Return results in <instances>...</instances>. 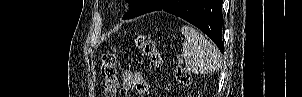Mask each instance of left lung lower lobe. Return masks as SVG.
Listing matches in <instances>:
<instances>
[{"mask_svg": "<svg viewBox=\"0 0 302 97\" xmlns=\"http://www.w3.org/2000/svg\"><path fill=\"white\" fill-rule=\"evenodd\" d=\"M147 3L149 4L145 9L126 19L152 11L164 10L198 27L224 53L222 43V0H147Z\"/></svg>", "mask_w": 302, "mask_h": 97, "instance_id": "1", "label": "left lung lower lobe"}]
</instances>
